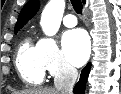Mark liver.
Returning a JSON list of instances; mask_svg holds the SVG:
<instances>
[{
  "instance_id": "1",
  "label": "liver",
  "mask_w": 121,
  "mask_h": 94,
  "mask_svg": "<svg viewBox=\"0 0 121 94\" xmlns=\"http://www.w3.org/2000/svg\"><path fill=\"white\" fill-rule=\"evenodd\" d=\"M18 94H59L54 88H34L30 90L21 91Z\"/></svg>"
}]
</instances>
